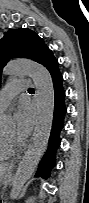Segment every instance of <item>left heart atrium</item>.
<instances>
[{"instance_id":"left-heart-atrium-1","label":"left heart atrium","mask_w":89,"mask_h":203,"mask_svg":"<svg viewBox=\"0 0 89 203\" xmlns=\"http://www.w3.org/2000/svg\"><path fill=\"white\" fill-rule=\"evenodd\" d=\"M15 134L19 141H24L31 133L34 126V114L26 103H21L15 112Z\"/></svg>"}]
</instances>
